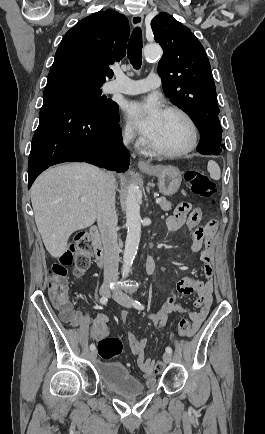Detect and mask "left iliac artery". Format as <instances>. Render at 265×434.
<instances>
[{
    "mask_svg": "<svg viewBox=\"0 0 265 434\" xmlns=\"http://www.w3.org/2000/svg\"><path fill=\"white\" fill-rule=\"evenodd\" d=\"M133 306L136 308V309H140V310H142V309H144V306H143V304H141L139 301H137V300H134L133 301ZM166 352H168V353H172V348L171 347H169V346H167L166 347Z\"/></svg>",
    "mask_w": 265,
    "mask_h": 434,
    "instance_id": "left-iliac-artery-1",
    "label": "left iliac artery"
}]
</instances>
